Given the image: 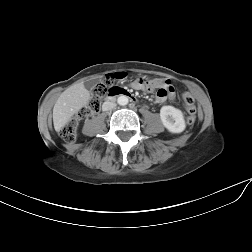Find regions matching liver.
<instances>
[{"mask_svg":"<svg viewBox=\"0 0 252 252\" xmlns=\"http://www.w3.org/2000/svg\"><path fill=\"white\" fill-rule=\"evenodd\" d=\"M90 99V93L83 83L67 88L57 99L53 108V124L56 131H60L71 117L83 108Z\"/></svg>","mask_w":252,"mask_h":252,"instance_id":"obj_1","label":"liver"}]
</instances>
